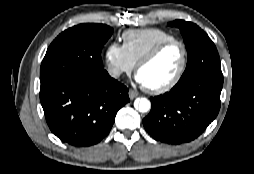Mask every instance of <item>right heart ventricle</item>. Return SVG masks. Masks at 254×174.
<instances>
[{
    "label": "right heart ventricle",
    "instance_id": "1",
    "mask_svg": "<svg viewBox=\"0 0 254 174\" xmlns=\"http://www.w3.org/2000/svg\"><path fill=\"white\" fill-rule=\"evenodd\" d=\"M175 38L171 32L161 28L132 29L122 34L123 47L135 64L156 45Z\"/></svg>",
    "mask_w": 254,
    "mask_h": 174
}]
</instances>
